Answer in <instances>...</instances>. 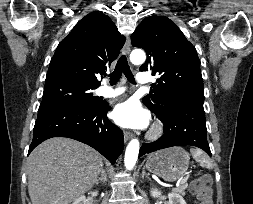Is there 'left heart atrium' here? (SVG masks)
I'll return each mask as SVG.
<instances>
[{
	"mask_svg": "<svg viewBox=\"0 0 253 204\" xmlns=\"http://www.w3.org/2000/svg\"><path fill=\"white\" fill-rule=\"evenodd\" d=\"M112 117L118 125L134 129H143L150 121L149 113L135 99H129L116 105Z\"/></svg>",
	"mask_w": 253,
	"mask_h": 204,
	"instance_id": "1",
	"label": "left heart atrium"
}]
</instances>
